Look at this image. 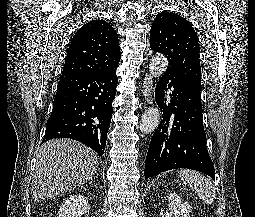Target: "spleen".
I'll return each instance as SVG.
<instances>
[{
    "mask_svg": "<svg viewBox=\"0 0 255 217\" xmlns=\"http://www.w3.org/2000/svg\"><path fill=\"white\" fill-rule=\"evenodd\" d=\"M181 180L187 184L206 204H212L216 198L213 183L203 174L193 170H180Z\"/></svg>",
    "mask_w": 255,
    "mask_h": 217,
    "instance_id": "3e777b00",
    "label": "spleen"
}]
</instances>
